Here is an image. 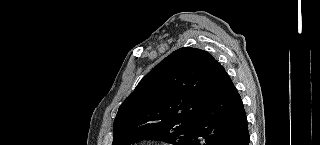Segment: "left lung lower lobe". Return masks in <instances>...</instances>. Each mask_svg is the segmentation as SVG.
I'll use <instances>...</instances> for the list:
<instances>
[{"label":"left lung lower lobe","instance_id":"0a47b994","mask_svg":"<svg viewBox=\"0 0 320 145\" xmlns=\"http://www.w3.org/2000/svg\"><path fill=\"white\" fill-rule=\"evenodd\" d=\"M205 94L204 109L186 145H249L241 97L220 63L209 76Z\"/></svg>","mask_w":320,"mask_h":145}]
</instances>
